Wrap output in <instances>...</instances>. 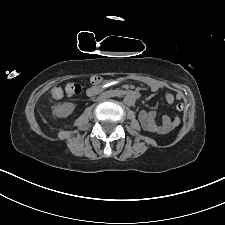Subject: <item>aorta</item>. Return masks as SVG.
<instances>
[{
  "label": "aorta",
  "mask_w": 225,
  "mask_h": 225,
  "mask_svg": "<svg viewBox=\"0 0 225 225\" xmlns=\"http://www.w3.org/2000/svg\"><path fill=\"white\" fill-rule=\"evenodd\" d=\"M135 100L136 99H135L134 95H132V94H127L124 97V103L129 106L133 105L135 103Z\"/></svg>",
  "instance_id": "aorta-1"
}]
</instances>
